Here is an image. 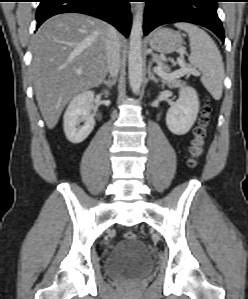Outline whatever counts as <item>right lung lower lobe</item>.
<instances>
[{
    "label": "right lung lower lobe",
    "mask_w": 248,
    "mask_h": 299,
    "mask_svg": "<svg viewBox=\"0 0 248 299\" xmlns=\"http://www.w3.org/2000/svg\"><path fill=\"white\" fill-rule=\"evenodd\" d=\"M130 0H40L37 27L60 13L76 12L94 16L115 26L128 37L131 26Z\"/></svg>",
    "instance_id": "1"
}]
</instances>
